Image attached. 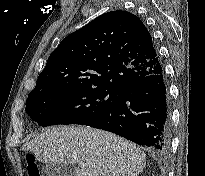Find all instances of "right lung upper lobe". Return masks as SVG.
Segmentation results:
<instances>
[{
	"label": "right lung upper lobe",
	"mask_w": 205,
	"mask_h": 176,
	"mask_svg": "<svg viewBox=\"0 0 205 176\" xmlns=\"http://www.w3.org/2000/svg\"><path fill=\"white\" fill-rule=\"evenodd\" d=\"M162 69L143 22L134 14L117 10L65 37L49 56L29 95L74 87L122 90Z\"/></svg>",
	"instance_id": "obj_1"
}]
</instances>
